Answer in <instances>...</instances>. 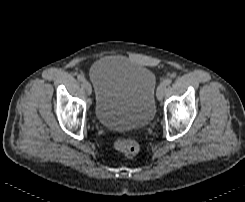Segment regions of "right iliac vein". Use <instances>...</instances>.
<instances>
[{
  "label": "right iliac vein",
  "instance_id": "obj_1",
  "mask_svg": "<svg viewBox=\"0 0 245 202\" xmlns=\"http://www.w3.org/2000/svg\"><path fill=\"white\" fill-rule=\"evenodd\" d=\"M83 87L85 88V90L88 93V95H91L92 87H91V84L87 80L83 81Z\"/></svg>",
  "mask_w": 245,
  "mask_h": 202
}]
</instances>
